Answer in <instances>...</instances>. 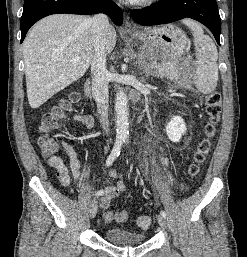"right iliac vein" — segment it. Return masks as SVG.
<instances>
[{"label": "right iliac vein", "instance_id": "1", "mask_svg": "<svg viewBox=\"0 0 247 257\" xmlns=\"http://www.w3.org/2000/svg\"><path fill=\"white\" fill-rule=\"evenodd\" d=\"M88 210H89V216H90V218H94V217L96 216L97 210H98V204H97L96 198H92V199L89 201Z\"/></svg>", "mask_w": 247, "mask_h": 257}]
</instances>
